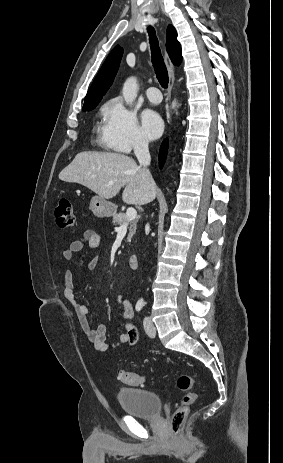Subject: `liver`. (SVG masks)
Segmentation results:
<instances>
[{"mask_svg":"<svg viewBox=\"0 0 283 463\" xmlns=\"http://www.w3.org/2000/svg\"><path fill=\"white\" fill-rule=\"evenodd\" d=\"M59 179L79 183L104 199L113 198L124 187L122 199L127 204L144 205L156 197V185L146 182L143 168L132 157L120 153H78L59 173Z\"/></svg>","mask_w":283,"mask_h":463,"instance_id":"liver-1","label":"liver"}]
</instances>
